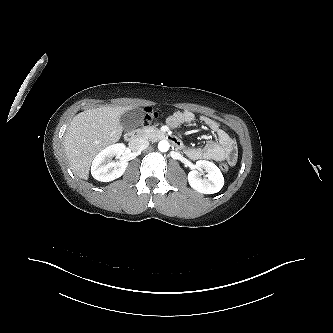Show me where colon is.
Wrapping results in <instances>:
<instances>
[{
  "label": "colon",
  "mask_w": 333,
  "mask_h": 333,
  "mask_svg": "<svg viewBox=\"0 0 333 333\" xmlns=\"http://www.w3.org/2000/svg\"><path fill=\"white\" fill-rule=\"evenodd\" d=\"M144 113V124L151 123L157 117V113L152 108H145ZM220 168L222 171H227L229 169V162L227 160H222V162L220 163Z\"/></svg>",
  "instance_id": "obj_1"
}]
</instances>
